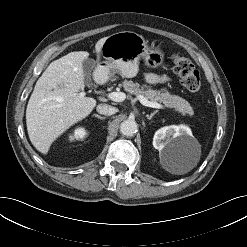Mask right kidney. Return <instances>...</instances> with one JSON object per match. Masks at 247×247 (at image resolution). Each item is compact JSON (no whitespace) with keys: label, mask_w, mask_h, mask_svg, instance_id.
<instances>
[{"label":"right kidney","mask_w":247,"mask_h":247,"mask_svg":"<svg viewBox=\"0 0 247 247\" xmlns=\"http://www.w3.org/2000/svg\"><path fill=\"white\" fill-rule=\"evenodd\" d=\"M88 132L85 130V128L83 127H78L74 130V132L72 134H70L69 136V140L73 141V140H80L83 139L87 136Z\"/></svg>","instance_id":"ca27d5eb"}]
</instances>
